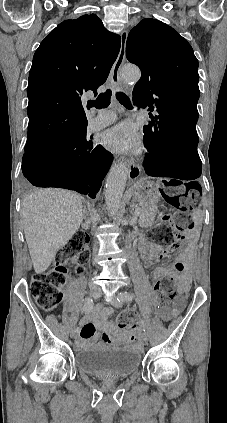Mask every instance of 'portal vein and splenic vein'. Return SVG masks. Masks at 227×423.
I'll use <instances>...</instances> for the list:
<instances>
[{"mask_svg":"<svg viewBox=\"0 0 227 423\" xmlns=\"http://www.w3.org/2000/svg\"><path fill=\"white\" fill-rule=\"evenodd\" d=\"M140 213H141V210L140 209L135 210L134 211L135 217H139L140 216Z\"/></svg>","mask_w":227,"mask_h":423,"instance_id":"1","label":"portal vein and splenic vein"}]
</instances>
